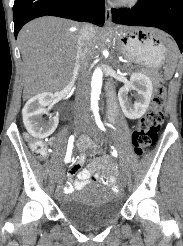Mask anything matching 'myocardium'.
<instances>
[{"instance_id":"myocardium-1","label":"myocardium","mask_w":183,"mask_h":246,"mask_svg":"<svg viewBox=\"0 0 183 246\" xmlns=\"http://www.w3.org/2000/svg\"><path fill=\"white\" fill-rule=\"evenodd\" d=\"M137 1L138 0H119L120 4L124 6L133 5Z\"/></svg>"}]
</instances>
